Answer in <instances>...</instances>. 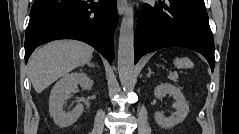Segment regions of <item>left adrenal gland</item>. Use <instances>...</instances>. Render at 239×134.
<instances>
[{
    "label": "left adrenal gland",
    "instance_id": "left-adrenal-gland-1",
    "mask_svg": "<svg viewBox=\"0 0 239 134\" xmlns=\"http://www.w3.org/2000/svg\"><path fill=\"white\" fill-rule=\"evenodd\" d=\"M152 74V71H151V68H148V74H147V77L149 78Z\"/></svg>",
    "mask_w": 239,
    "mask_h": 134
}]
</instances>
